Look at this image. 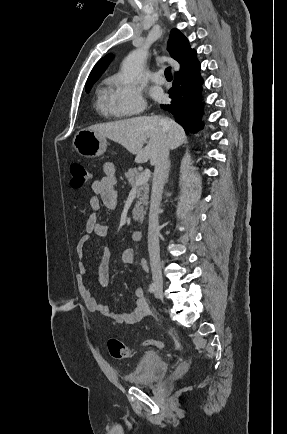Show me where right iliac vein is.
Segmentation results:
<instances>
[{
    "mask_svg": "<svg viewBox=\"0 0 287 434\" xmlns=\"http://www.w3.org/2000/svg\"><path fill=\"white\" fill-rule=\"evenodd\" d=\"M155 286L157 296L163 300V285L160 282H155Z\"/></svg>",
    "mask_w": 287,
    "mask_h": 434,
    "instance_id": "right-iliac-vein-1",
    "label": "right iliac vein"
}]
</instances>
